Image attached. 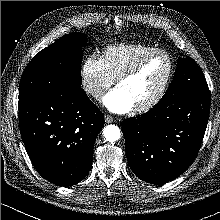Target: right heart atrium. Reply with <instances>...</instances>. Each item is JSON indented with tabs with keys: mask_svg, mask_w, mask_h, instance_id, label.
I'll return each mask as SVG.
<instances>
[{
	"mask_svg": "<svg viewBox=\"0 0 220 220\" xmlns=\"http://www.w3.org/2000/svg\"><path fill=\"white\" fill-rule=\"evenodd\" d=\"M80 80L84 92L94 100H100L105 90L114 82L101 58L95 55H90L83 61L80 68Z\"/></svg>",
	"mask_w": 220,
	"mask_h": 220,
	"instance_id": "d8ad5b80",
	"label": "right heart atrium"
}]
</instances>
